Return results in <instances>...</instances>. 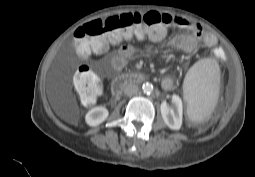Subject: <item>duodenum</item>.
<instances>
[{"mask_svg":"<svg viewBox=\"0 0 255 177\" xmlns=\"http://www.w3.org/2000/svg\"><path fill=\"white\" fill-rule=\"evenodd\" d=\"M145 80V76L139 73L123 74L116 77L112 83V91L119 95L123 88L129 84L140 83Z\"/></svg>","mask_w":255,"mask_h":177,"instance_id":"obj_1","label":"duodenum"}]
</instances>
